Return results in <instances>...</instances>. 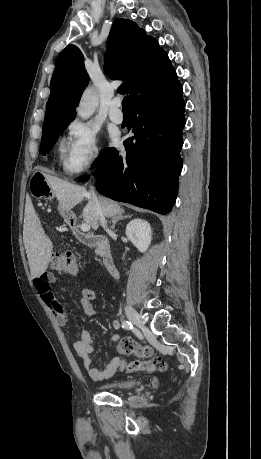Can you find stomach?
Here are the masks:
<instances>
[{"label":"stomach","mask_w":261,"mask_h":459,"mask_svg":"<svg viewBox=\"0 0 261 459\" xmlns=\"http://www.w3.org/2000/svg\"><path fill=\"white\" fill-rule=\"evenodd\" d=\"M29 192L37 199H49L53 194V191L46 181L45 176L41 172H35L29 182ZM63 216L66 217V212H63Z\"/></svg>","instance_id":"stomach-1"}]
</instances>
